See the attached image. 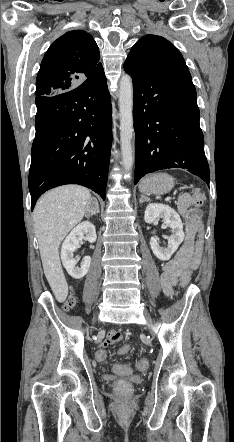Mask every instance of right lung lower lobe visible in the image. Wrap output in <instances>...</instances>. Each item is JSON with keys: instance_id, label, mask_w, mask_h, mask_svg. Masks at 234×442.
<instances>
[{"instance_id": "right-lung-lower-lobe-1", "label": "right lung lower lobe", "mask_w": 234, "mask_h": 442, "mask_svg": "<svg viewBox=\"0 0 234 442\" xmlns=\"http://www.w3.org/2000/svg\"><path fill=\"white\" fill-rule=\"evenodd\" d=\"M35 102L31 210L45 191L64 184L83 185L105 199L112 118L104 71L72 90L37 96Z\"/></svg>"}]
</instances>
